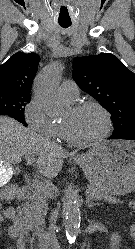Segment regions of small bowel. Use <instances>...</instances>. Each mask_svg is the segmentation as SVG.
<instances>
[{"mask_svg": "<svg viewBox=\"0 0 135 249\" xmlns=\"http://www.w3.org/2000/svg\"><path fill=\"white\" fill-rule=\"evenodd\" d=\"M0 236L15 239V244L7 249H27L23 225L14 206L3 207L0 204Z\"/></svg>", "mask_w": 135, "mask_h": 249, "instance_id": "small-bowel-1", "label": "small bowel"}]
</instances>
